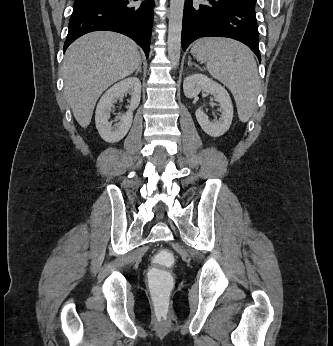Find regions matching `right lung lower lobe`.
<instances>
[{"instance_id":"right-lung-lower-lobe-1","label":"right lung lower lobe","mask_w":333,"mask_h":346,"mask_svg":"<svg viewBox=\"0 0 333 346\" xmlns=\"http://www.w3.org/2000/svg\"><path fill=\"white\" fill-rule=\"evenodd\" d=\"M154 0H75L64 52L80 36L99 30L122 33L150 51Z\"/></svg>"}]
</instances>
